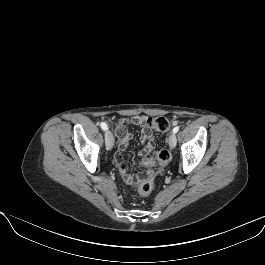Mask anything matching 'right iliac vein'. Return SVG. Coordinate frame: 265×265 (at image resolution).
<instances>
[{
  "mask_svg": "<svg viewBox=\"0 0 265 265\" xmlns=\"http://www.w3.org/2000/svg\"><path fill=\"white\" fill-rule=\"evenodd\" d=\"M105 143L107 150H110L114 145V137L110 130H106L105 132Z\"/></svg>",
  "mask_w": 265,
  "mask_h": 265,
  "instance_id": "63e3f726",
  "label": "right iliac vein"
}]
</instances>
